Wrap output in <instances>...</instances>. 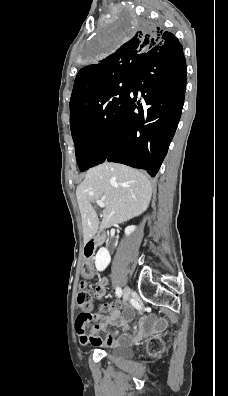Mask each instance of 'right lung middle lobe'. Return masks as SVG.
Returning a JSON list of instances; mask_svg holds the SVG:
<instances>
[{"mask_svg": "<svg viewBox=\"0 0 228 396\" xmlns=\"http://www.w3.org/2000/svg\"><path fill=\"white\" fill-rule=\"evenodd\" d=\"M145 20L128 14L115 27L104 30L92 44L91 58L107 55L124 41L136 28H142ZM130 79L114 82L95 98L78 116L70 120L80 171L102 163L107 155L112 127L129 93Z\"/></svg>", "mask_w": 228, "mask_h": 396, "instance_id": "right-lung-middle-lobe-1", "label": "right lung middle lobe"}]
</instances>
